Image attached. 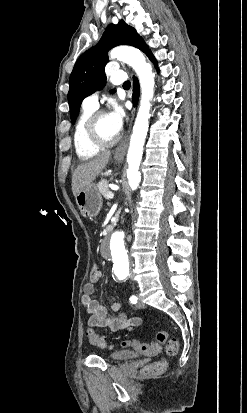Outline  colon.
<instances>
[{"mask_svg":"<svg viewBox=\"0 0 247 413\" xmlns=\"http://www.w3.org/2000/svg\"><path fill=\"white\" fill-rule=\"evenodd\" d=\"M101 275V264L94 263L92 264V272L89 274L91 279H94L96 276ZM88 340L93 345H103L102 339L100 336L92 329H89L86 332ZM164 347L167 355H178L179 354V342L175 338L169 339V334L163 331H158L156 336L151 338V343L143 342L141 340L131 339L123 342L124 346H129L134 350L141 352L145 355H153L157 351H161L160 346ZM154 345H156L154 347ZM111 346V345H109ZM154 347V348H153ZM163 350V352H164ZM162 352V353H163ZM167 368V361L165 359L159 360L148 365L144 372L148 375H156L163 372Z\"/></svg>","mask_w":247,"mask_h":413,"instance_id":"colon-1","label":"colon"}]
</instances>
